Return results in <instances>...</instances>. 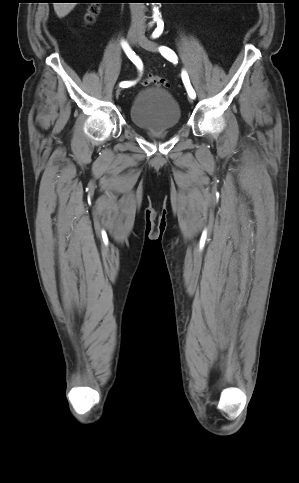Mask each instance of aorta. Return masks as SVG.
<instances>
[{"mask_svg": "<svg viewBox=\"0 0 299 483\" xmlns=\"http://www.w3.org/2000/svg\"><path fill=\"white\" fill-rule=\"evenodd\" d=\"M153 11H154V19H157L159 17V10H158V8L157 7H154Z\"/></svg>", "mask_w": 299, "mask_h": 483, "instance_id": "1", "label": "aorta"}]
</instances>
